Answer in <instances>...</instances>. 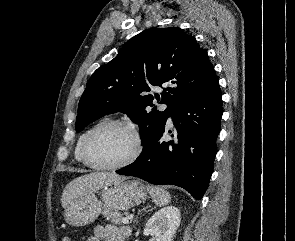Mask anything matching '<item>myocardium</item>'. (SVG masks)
I'll return each mask as SVG.
<instances>
[{"mask_svg":"<svg viewBox=\"0 0 295 241\" xmlns=\"http://www.w3.org/2000/svg\"><path fill=\"white\" fill-rule=\"evenodd\" d=\"M113 127H121L131 132L135 142L134 151L126 160L116 164L105 165V164L96 163L95 161L92 160L90 155L91 144L101 132ZM142 151H143V140L141 138L140 133L138 132V130L136 129L134 125L122 120H108L96 126L85 139L83 147H82V160L84 164H86L92 169L112 171V170L122 169L124 167H127L133 164L140 157Z\"/></svg>","mask_w":295,"mask_h":241,"instance_id":"1","label":"myocardium"}]
</instances>
